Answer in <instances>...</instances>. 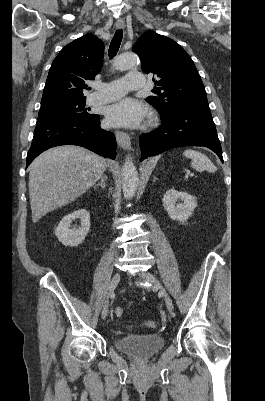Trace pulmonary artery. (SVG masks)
<instances>
[{
    "label": "pulmonary artery",
    "instance_id": "pulmonary-artery-1",
    "mask_svg": "<svg viewBox=\"0 0 265 401\" xmlns=\"http://www.w3.org/2000/svg\"><path fill=\"white\" fill-rule=\"evenodd\" d=\"M143 79L144 74L142 72H129L127 83L128 90H139ZM124 82H127V77H122V81H120L119 78H112L111 81H106V83H102L101 81L95 82V85L105 86L100 88L97 92V96H91L89 102L92 104H101L122 100L123 96L127 93V90L124 89Z\"/></svg>",
    "mask_w": 265,
    "mask_h": 401
}]
</instances>
